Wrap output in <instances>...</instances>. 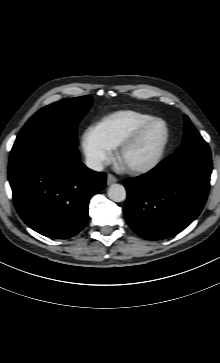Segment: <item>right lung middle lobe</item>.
Wrapping results in <instances>:
<instances>
[{
    "instance_id": "1",
    "label": "right lung middle lobe",
    "mask_w": 220,
    "mask_h": 363,
    "mask_svg": "<svg viewBox=\"0 0 220 363\" xmlns=\"http://www.w3.org/2000/svg\"><path fill=\"white\" fill-rule=\"evenodd\" d=\"M92 104L90 96L62 99L35 113L20 131L11 154L23 147L52 137L67 139L77 146V125Z\"/></svg>"
}]
</instances>
